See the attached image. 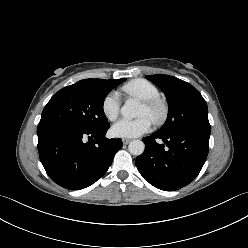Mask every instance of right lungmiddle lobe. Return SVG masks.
<instances>
[{
	"mask_svg": "<svg viewBox=\"0 0 248 248\" xmlns=\"http://www.w3.org/2000/svg\"><path fill=\"white\" fill-rule=\"evenodd\" d=\"M125 78L93 84L84 81L66 86L52 96L39 123L61 122L95 130L110 126L103 111L107 94Z\"/></svg>",
	"mask_w": 248,
	"mask_h": 248,
	"instance_id": "1",
	"label": "right lung middle lobe"
}]
</instances>
